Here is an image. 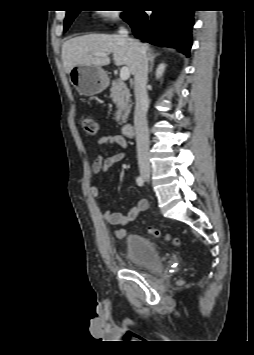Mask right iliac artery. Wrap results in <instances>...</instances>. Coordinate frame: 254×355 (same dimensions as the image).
<instances>
[{
    "instance_id": "obj_1",
    "label": "right iliac artery",
    "mask_w": 254,
    "mask_h": 355,
    "mask_svg": "<svg viewBox=\"0 0 254 355\" xmlns=\"http://www.w3.org/2000/svg\"><path fill=\"white\" fill-rule=\"evenodd\" d=\"M136 183H137L138 186H143L144 185V179L141 176H139L136 179Z\"/></svg>"
}]
</instances>
